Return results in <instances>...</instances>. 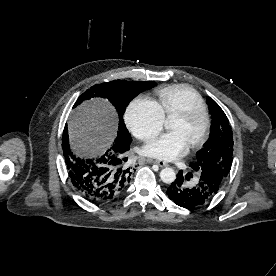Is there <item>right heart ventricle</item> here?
Here are the masks:
<instances>
[{
  "label": "right heart ventricle",
  "mask_w": 276,
  "mask_h": 276,
  "mask_svg": "<svg viewBox=\"0 0 276 276\" xmlns=\"http://www.w3.org/2000/svg\"><path fill=\"white\" fill-rule=\"evenodd\" d=\"M158 106L164 117L172 118L190 108H206L201 95L188 85L177 84L162 87L156 91Z\"/></svg>",
  "instance_id": "right-heart-ventricle-1"
}]
</instances>
